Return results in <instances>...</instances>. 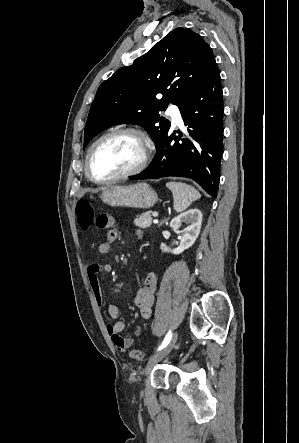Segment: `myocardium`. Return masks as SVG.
Instances as JSON below:
<instances>
[{
  "mask_svg": "<svg viewBox=\"0 0 299 443\" xmlns=\"http://www.w3.org/2000/svg\"><path fill=\"white\" fill-rule=\"evenodd\" d=\"M118 134H130L133 135L135 137L138 138V140L141 143L142 146V155L141 158L139 160V162L133 166L132 168H130L129 170L113 176L111 178H107V179H99L96 178L92 172V168H91V158L93 155V152L95 150V148L104 140L118 135ZM152 151H153V146H152V142L150 141L149 137L140 129L135 128V127H122V128H117L114 130H111L105 134H103L102 136H100L89 148L87 155H86V173L88 178L97 184H112L115 183L117 181L123 180L125 178L131 177L133 175H136L138 173H140L141 171H143L151 158L152 155Z\"/></svg>",
  "mask_w": 299,
  "mask_h": 443,
  "instance_id": "f54148a6",
  "label": "myocardium"
}]
</instances>
